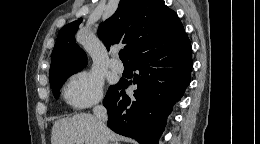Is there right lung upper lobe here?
I'll list each match as a JSON object with an SVG mask.
<instances>
[{
  "label": "right lung upper lobe",
  "instance_id": "obj_1",
  "mask_svg": "<svg viewBox=\"0 0 260 144\" xmlns=\"http://www.w3.org/2000/svg\"><path fill=\"white\" fill-rule=\"evenodd\" d=\"M82 18L65 25L52 51L49 75L87 64L85 52L75 43ZM185 34L177 14L161 0H120L116 12L98 29L107 45L125 44L129 60L137 55L180 39Z\"/></svg>",
  "mask_w": 260,
  "mask_h": 144
}]
</instances>
